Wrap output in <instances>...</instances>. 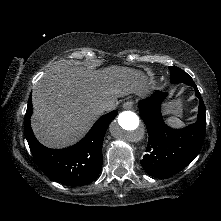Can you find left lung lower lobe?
<instances>
[{
  "label": "left lung lower lobe",
  "mask_w": 221,
  "mask_h": 221,
  "mask_svg": "<svg viewBox=\"0 0 221 221\" xmlns=\"http://www.w3.org/2000/svg\"><path fill=\"white\" fill-rule=\"evenodd\" d=\"M187 85L195 89L199 98L198 120L183 129L167 126L161 115V102L167 93L155 91L138 103L140 116L149 134L146 151L140 161L144 170L153 177H166L184 169L198 155L205 136V105L194 81Z\"/></svg>",
  "instance_id": "left-lung-lower-lobe-1"
}]
</instances>
